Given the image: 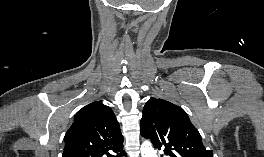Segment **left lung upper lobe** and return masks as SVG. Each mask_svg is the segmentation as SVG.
Returning a JSON list of instances; mask_svg holds the SVG:
<instances>
[{"label":"left lung upper lobe","instance_id":"obj_1","mask_svg":"<svg viewBox=\"0 0 264 157\" xmlns=\"http://www.w3.org/2000/svg\"><path fill=\"white\" fill-rule=\"evenodd\" d=\"M140 133L169 157H213L187 113L163 99L150 98L143 108Z\"/></svg>","mask_w":264,"mask_h":157}]
</instances>
